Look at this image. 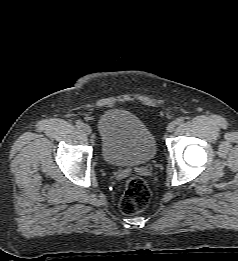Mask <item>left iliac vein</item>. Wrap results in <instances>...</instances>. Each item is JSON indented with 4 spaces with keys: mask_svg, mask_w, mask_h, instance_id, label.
<instances>
[{
    "mask_svg": "<svg viewBox=\"0 0 238 261\" xmlns=\"http://www.w3.org/2000/svg\"><path fill=\"white\" fill-rule=\"evenodd\" d=\"M176 125H177L176 122L169 123L167 126V132L169 133L173 132L176 128Z\"/></svg>",
    "mask_w": 238,
    "mask_h": 261,
    "instance_id": "4c4485c4",
    "label": "left iliac vein"
}]
</instances>
